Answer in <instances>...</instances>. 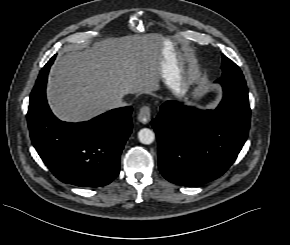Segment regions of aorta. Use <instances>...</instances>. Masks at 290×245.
<instances>
[{"instance_id":"1","label":"aorta","mask_w":290,"mask_h":245,"mask_svg":"<svg viewBox=\"0 0 290 245\" xmlns=\"http://www.w3.org/2000/svg\"><path fill=\"white\" fill-rule=\"evenodd\" d=\"M138 139L142 144L149 145L155 139V134L148 128H143L138 132Z\"/></svg>"}]
</instances>
